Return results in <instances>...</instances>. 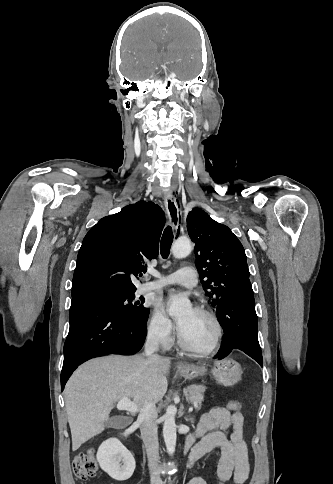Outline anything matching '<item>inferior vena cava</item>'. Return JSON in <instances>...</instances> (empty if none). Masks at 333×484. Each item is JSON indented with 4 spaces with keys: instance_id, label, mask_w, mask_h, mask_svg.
Returning <instances> with one entry per match:
<instances>
[{
    "instance_id": "inferior-vena-cava-1",
    "label": "inferior vena cava",
    "mask_w": 333,
    "mask_h": 484,
    "mask_svg": "<svg viewBox=\"0 0 333 484\" xmlns=\"http://www.w3.org/2000/svg\"><path fill=\"white\" fill-rule=\"evenodd\" d=\"M159 344V338L155 333H149L144 345L145 355L150 359H158L159 356L154 352L157 350ZM157 418V411L155 404L148 400L140 409V413L137 418V422L140 425L141 437L145 444L146 453L148 457V466L151 474V484H162V479L157 470V463L159 460V443H158V430L155 420ZM156 472V473H155Z\"/></svg>"
}]
</instances>
